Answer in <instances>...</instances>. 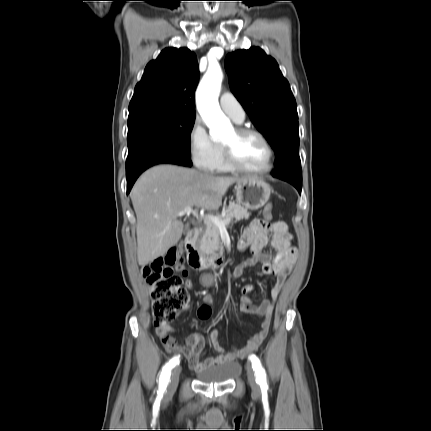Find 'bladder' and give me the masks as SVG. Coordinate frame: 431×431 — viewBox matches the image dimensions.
Listing matches in <instances>:
<instances>
[{
  "instance_id": "31cf9c89",
  "label": "bladder",
  "mask_w": 431,
  "mask_h": 431,
  "mask_svg": "<svg viewBox=\"0 0 431 431\" xmlns=\"http://www.w3.org/2000/svg\"><path fill=\"white\" fill-rule=\"evenodd\" d=\"M240 372L239 363L229 362L198 371L196 377L204 383H226L236 379Z\"/></svg>"
}]
</instances>
